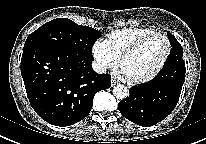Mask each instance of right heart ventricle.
<instances>
[{"mask_svg":"<svg viewBox=\"0 0 206 144\" xmlns=\"http://www.w3.org/2000/svg\"><path fill=\"white\" fill-rule=\"evenodd\" d=\"M155 33L150 28L131 27L112 31L105 38V43L118 59L121 53L139 39Z\"/></svg>","mask_w":206,"mask_h":144,"instance_id":"e07e8e85","label":"right heart ventricle"}]
</instances>
